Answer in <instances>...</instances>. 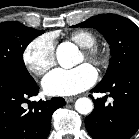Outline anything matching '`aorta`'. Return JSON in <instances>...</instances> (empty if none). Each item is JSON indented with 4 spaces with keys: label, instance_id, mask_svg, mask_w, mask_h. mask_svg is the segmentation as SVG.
Here are the masks:
<instances>
[{
    "label": "aorta",
    "instance_id": "obj_1",
    "mask_svg": "<svg viewBox=\"0 0 139 139\" xmlns=\"http://www.w3.org/2000/svg\"><path fill=\"white\" fill-rule=\"evenodd\" d=\"M78 50L77 47L69 42L61 43L57 48V60L63 68H72L74 66V57ZM75 109L83 115L89 114L93 110V102L86 97L79 98L75 103Z\"/></svg>",
    "mask_w": 139,
    "mask_h": 139
}]
</instances>
